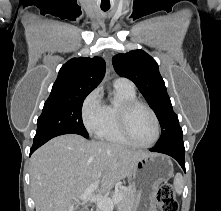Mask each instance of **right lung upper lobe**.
<instances>
[{
  "instance_id": "obj_1",
  "label": "right lung upper lobe",
  "mask_w": 221,
  "mask_h": 211,
  "mask_svg": "<svg viewBox=\"0 0 221 211\" xmlns=\"http://www.w3.org/2000/svg\"><path fill=\"white\" fill-rule=\"evenodd\" d=\"M105 69L100 57L73 58L61 67L50 96L89 94L102 81Z\"/></svg>"
}]
</instances>
